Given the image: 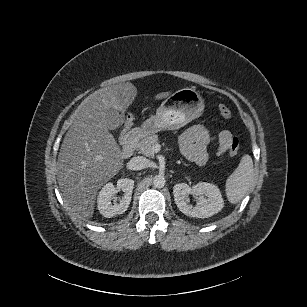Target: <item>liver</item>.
Wrapping results in <instances>:
<instances>
[{
	"label": "liver",
	"instance_id": "6515ba94",
	"mask_svg": "<svg viewBox=\"0 0 307 307\" xmlns=\"http://www.w3.org/2000/svg\"><path fill=\"white\" fill-rule=\"evenodd\" d=\"M161 92L155 100L167 98ZM137 88L131 82L95 91L80 104L57 161V180L74 212L91 218L98 190L123 167L121 150L109 130L120 123L119 112L131 105Z\"/></svg>",
	"mask_w": 307,
	"mask_h": 307
}]
</instances>
